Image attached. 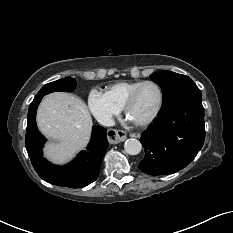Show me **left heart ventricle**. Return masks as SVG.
Wrapping results in <instances>:
<instances>
[{
  "label": "left heart ventricle",
  "instance_id": "b2bd125f",
  "mask_svg": "<svg viewBox=\"0 0 233 233\" xmlns=\"http://www.w3.org/2000/svg\"><path fill=\"white\" fill-rule=\"evenodd\" d=\"M158 90L153 85H145L139 92L136 101L129 111L131 120H142L148 117L158 103Z\"/></svg>",
  "mask_w": 233,
  "mask_h": 233
}]
</instances>
